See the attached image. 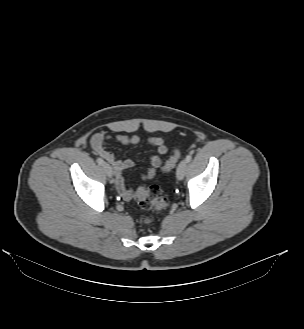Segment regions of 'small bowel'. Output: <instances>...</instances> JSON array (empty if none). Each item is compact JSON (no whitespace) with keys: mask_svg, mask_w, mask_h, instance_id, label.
<instances>
[{"mask_svg":"<svg viewBox=\"0 0 304 329\" xmlns=\"http://www.w3.org/2000/svg\"><path fill=\"white\" fill-rule=\"evenodd\" d=\"M110 138V136L102 132H97L90 139V147L114 170L116 189L124 199L128 200L131 197V190L126 186L122 173L124 170L133 166V161L129 158L118 160L112 152L108 151L106 149V143ZM114 138L122 145H135L140 142V138L137 135L117 134ZM148 143L156 148L157 154L149 158L151 167L142 176L143 179H151L155 175L156 169L161 165L160 156L165 155L168 150L164 139L160 136L150 137Z\"/></svg>","mask_w":304,"mask_h":329,"instance_id":"small-bowel-1","label":"small bowel"}]
</instances>
